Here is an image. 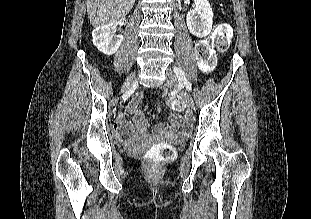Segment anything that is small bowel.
I'll return each mask as SVG.
<instances>
[{"instance_id": "small-bowel-1", "label": "small bowel", "mask_w": 311, "mask_h": 219, "mask_svg": "<svg viewBox=\"0 0 311 219\" xmlns=\"http://www.w3.org/2000/svg\"><path fill=\"white\" fill-rule=\"evenodd\" d=\"M141 101V96L136 95L127 105L128 111L133 115L134 124L131 131L120 132V138L123 139L126 135L131 134L134 141L142 140L147 136V129L149 126V121L144 118L143 113L139 109V103ZM169 123L158 126L154 135H166L169 137H174L182 139L189 132V121L182 118L180 115L173 114L169 116ZM125 123L124 116H121L119 124ZM120 128V127H119Z\"/></svg>"}]
</instances>
